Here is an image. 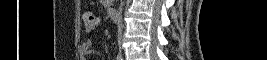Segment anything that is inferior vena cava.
Returning <instances> with one entry per match:
<instances>
[{"label":"inferior vena cava","instance_id":"602c4592","mask_svg":"<svg viewBox=\"0 0 267 60\" xmlns=\"http://www.w3.org/2000/svg\"><path fill=\"white\" fill-rule=\"evenodd\" d=\"M122 28H123V23H122V20L119 19V21H118V36H121Z\"/></svg>","mask_w":267,"mask_h":60}]
</instances>
